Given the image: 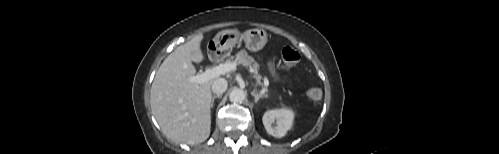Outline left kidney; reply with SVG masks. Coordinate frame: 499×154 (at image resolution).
<instances>
[{
  "mask_svg": "<svg viewBox=\"0 0 499 154\" xmlns=\"http://www.w3.org/2000/svg\"><path fill=\"white\" fill-rule=\"evenodd\" d=\"M262 121L270 135L281 138L292 128L294 112L287 108L269 110L263 115Z\"/></svg>",
  "mask_w": 499,
  "mask_h": 154,
  "instance_id": "5707ae66",
  "label": "left kidney"
}]
</instances>
